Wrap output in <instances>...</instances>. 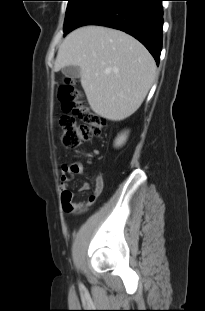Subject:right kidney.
I'll return each instance as SVG.
<instances>
[{
	"mask_svg": "<svg viewBox=\"0 0 205 311\" xmlns=\"http://www.w3.org/2000/svg\"><path fill=\"white\" fill-rule=\"evenodd\" d=\"M126 134H122L121 136H119L117 139H116V142H115V145L116 146H121L125 140H126Z\"/></svg>",
	"mask_w": 205,
	"mask_h": 311,
	"instance_id": "ca27d5eb",
	"label": "right kidney"
}]
</instances>
